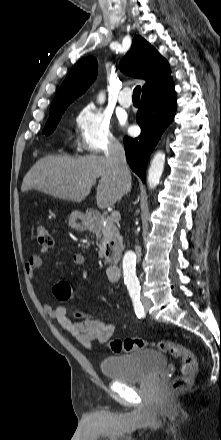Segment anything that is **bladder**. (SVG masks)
I'll return each instance as SVG.
<instances>
[{
	"label": "bladder",
	"instance_id": "1",
	"mask_svg": "<svg viewBox=\"0 0 221 440\" xmlns=\"http://www.w3.org/2000/svg\"><path fill=\"white\" fill-rule=\"evenodd\" d=\"M166 365L167 359L160 351L140 349L104 359L100 369L108 380L139 383L158 375Z\"/></svg>",
	"mask_w": 221,
	"mask_h": 440
}]
</instances>
